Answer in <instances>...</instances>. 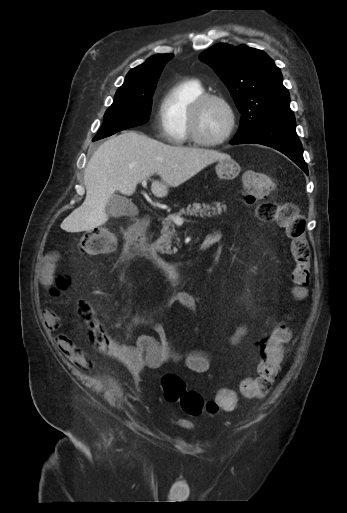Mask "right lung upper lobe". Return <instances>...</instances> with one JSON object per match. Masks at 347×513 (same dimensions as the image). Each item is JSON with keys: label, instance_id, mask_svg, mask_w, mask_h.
<instances>
[{"label": "right lung upper lobe", "instance_id": "obj_1", "mask_svg": "<svg viewBox=\"0 0 347 513\" xmlns=\"http://www.w3.org/2000/svg\"><path fill=\"white\" fill-rule=\"evenodd\" d=\"M173 55L159 54L150 57L145 63L130 70L120 88H140L158 81L164 65Z\"/></svg>", "mask_w": 347, "mask_h": 513}]
</instances>
